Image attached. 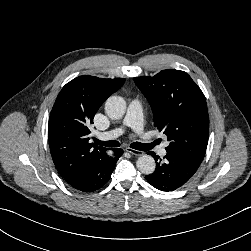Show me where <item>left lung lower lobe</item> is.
<instances>
[{
  "label": "left lung lower lobe",
  "mask_w": 251,
  "mask_h": 251,
  "mask_svg": "<svg viewBox=\"0 0 251 251\" xmlns=\"http://www.w3.org/2000/svg\"><path fill=\"white\" fill-rule=\"evenodd\" d=\"M156 160V169L154 173L146 175L145 179L153 187L161 191H173L185 183L195 174L200 164L194 161L172 153H167L164 160L154 152H148Z\"/></svg>",
  "instance_id": "1"
}]
</instances>
